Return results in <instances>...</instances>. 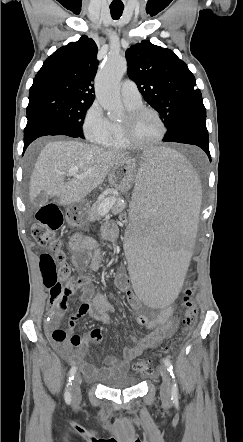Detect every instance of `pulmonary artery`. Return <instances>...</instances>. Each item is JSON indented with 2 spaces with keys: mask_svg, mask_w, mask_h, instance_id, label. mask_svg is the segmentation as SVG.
<instances>
[{
  "mask_svg": "<svg viewBox=\"0 0 243 442\" xmlns=\"http://www.w3.org/2000/svg\"><path fill=\"white\" fill-rule=\"evenodd\" d=\"M121 96L124 102L129 104H140L141 95L137 85L132 80H125L121 86Z\"/></svg>",
  "mask_w": 243,
  "mask_h": 442,
  "instance_id": "1",
  "label": "pulmonary artery"
}]
</instances>
